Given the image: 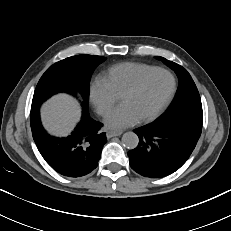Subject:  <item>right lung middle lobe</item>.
I'll use <instances>...</instances> for the list:
<instances>
[{
	"label": "right lung middle lobe",
	"instance_id": "obj_1",
	"mask_svg": "<svg viewBox=\"0 0 231 231\" xmlns=\"http://www.w3.org/2000/svg\"><path fill=\"white\" fill-rule=\"evenodd\" d=\"M106 58L94 55H77L61 60L42 75L34 92L32 107L39 108L43 101L59 92L83 98V110H88V83L92 71Z\"/></svg>",
	"mask_w": 231,
	"mask_h": 231
}]
</instances>
